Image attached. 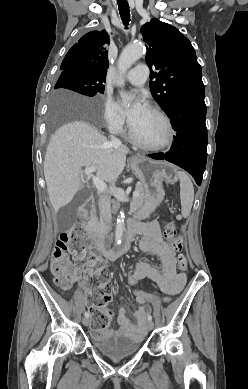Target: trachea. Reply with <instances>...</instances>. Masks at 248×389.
I'll return each mask as SVG.
<instances>
[{
    "mask_svg": "<svg viewBox=\"0 0 248 389\" xmlns=\"http://www.w3.org/2000/svg\"><path fill=\"white\" fill-rule=\"evenodd\" d=\"M118 9L120 12L121 19L123 21V24L126 26L129 25L130 21V9L127 0H117Z\"/></svg>",
    "mask_w": 248,
    "mask_h": 389,
    "instance_id": "1",
    "label": "trachea"
}]
</instances>
